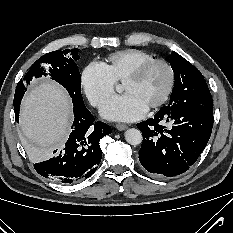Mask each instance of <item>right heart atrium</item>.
I'll return each mask as SVG.
<instances>
[{
	"label": "right heart atrium",
	"mask_w": 233,
	"mask_h": 233,
	"mask_svg": "<svg viewBox=\"0 0 233 233\" xmlns=\"http://www.w3.org/2000/svg\"><path fill=\"white\" fill-rule=\"evenodd\" d=\"M81 85L90 103L98 107L114 93L116 80L104 64L92 62L82 71Z\"/></svg>",
	"instance_id": "1"
}]
</instances>
